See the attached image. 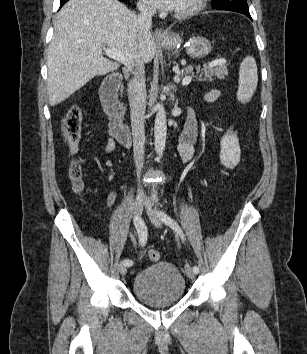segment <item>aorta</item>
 <instances>
[{
	"label": "aorta",
	"mask_w": 307,
	"mask_h": 354,
	"mask_svg": "<svg viewBox=\"0 0 307 354\" xmlns=\"http://www.w3.org/2000/svg\"><path fill=\"white\" fill-rule=\"evenodd\" d=\"M157 113L154 124V146L155 152L158 155L157 159L162 156L167 136V119L166 111L162 103L156 105Z\"/></svg>",
	"instance_id": "aorta-1"
}]
</instances>
